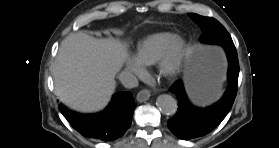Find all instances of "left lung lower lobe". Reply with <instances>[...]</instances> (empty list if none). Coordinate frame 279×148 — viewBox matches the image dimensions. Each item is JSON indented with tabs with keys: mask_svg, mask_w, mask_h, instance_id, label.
Returning a JSON list of instances; mask_svg holds the SVG:
<instances>
[{
	"mask_svg": "<svg viewBox=\"0 0 279 148\" xmlns=\"http://www.w3.org/2000/svg\"><path fill=\"white\" fill-rule=\"evenodd\" d=\"M228 68V88L220 101L207 108L193 106L187 99L183 83L178 80L170 91L178 100V111L168 120L171 132L180 139L189 140L204 136L215 129L230 111L237 94L239 62L233 41L224 42Z\"/></svg>",
	"mask_w": 279,
	"mask_h": 148,
	"instance_id": "0a47b994",
	"label": "left lung lower lobe"
}]
</instances>
